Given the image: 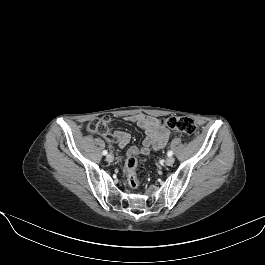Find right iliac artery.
I'll list each match as a JSON object with an SVG mask.
<instances>
[{
  "mask_svg": "<svg viewBox=\"0 0 265 265\" xmlns=\"http://www.w3.org/2000/svg\"><path fill=\"white\" fill-rule=\"evenodd\" d=\"M102 153H103V155H107L108 152L106 150H104Z\"/></svg>",
  "mask_w": 265,
  "mask_h": 265,
  "instance_id": "1",
  "label": "right iliac artery"
}]
</instances>
